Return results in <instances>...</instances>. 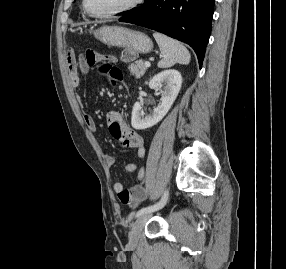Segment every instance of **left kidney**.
<instances>
[{
  "instance_id": "obj_1",
  "label": "left kidney",
  "mask_w": 286,
  "mask_h": 269,
  "mask_svg": "<svg viewBox=\"0 0 286 269\" xmlns=\"http://www.w3.org/2000/svg\"><path fill=\"white\" fill-rule=\"evenodd\" d=\"M182 85V76L179 71L169 69L155 75L149 81L151 89H159L161 92V103L154 108L153 112L144 116L141 105L136 102L133 106L131 125L136 130L150 128L160 122L168 113ZM163 87V89H162Z\"/></svg>"
}]
</instances>
